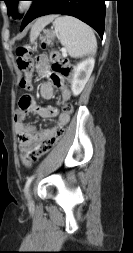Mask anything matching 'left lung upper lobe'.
I'll return each instance as SVG.
<instances>
[{"label":"left lung upper lobe","mask_w":133,"mask_h":253,"mask_svg":"<svg viewBox=\"0 0 133 253\" xmlns=\"http://www.w3.org/2000/svg\"><path fill=\"white\" fill-rule=\"evenodd\" d=\"M0 1H5L7 5V12L10 15H13V17L17 18V12H16V3L21 0H0Z\"/></svg>","instance_id":"5c2ea615"}]
</instances>
